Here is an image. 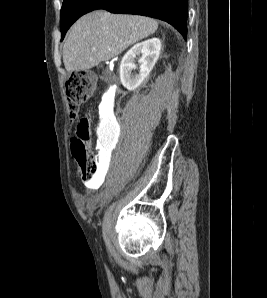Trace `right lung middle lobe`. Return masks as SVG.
<instances>
[{
	"label": "right lung middle lobe",
	"mask_w": 267,
	"mask_h": 298,
	"mask_svg": "<svg viewBox=\"0 0 267 298\" xmlns=\"http://www.w3.org/2000/svg\"><path fill=\"white\" fill-rule=\"evenodd\" d=\"M97 0H64L60 13L62 39L69 27L82 15L90 12Z\"/></svg>",
	"instance_id": "dd1d6c3e"
}]
</instances>
